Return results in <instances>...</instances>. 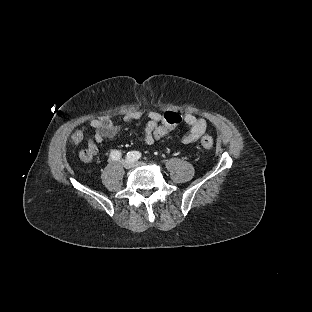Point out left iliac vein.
<instances>
[{
  "instance_id": "left-iliac-vein-1",
  "label": "left iliac vein",
  "mask_w": 312,
  "mask_h": 312,
  "mask_svg": "<svg viewBox=\"0 0 312 312\" xmlns=\"http://www.w3.org/2000/svg\"><path fill=\"white\" fill-rule=\"evenodd\" d=\"M145 163L144 162H134L133 166L138 167V166H143Z\"/></svg>"
}]
</instances>
